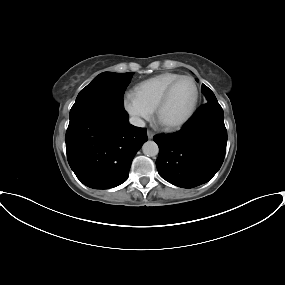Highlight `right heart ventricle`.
Returning <instances> with one entry per match:
<instances>
[{
    "mask_svg": "<svg viewBox=\"0 0 285 285\" xmlns=\"http://www.w3.org/2000/svg\"><path fill=\"white\" fill-rule=\"evenodd\" d=\"M180 74L166 72L138 83L133 90L136 99L150 110H154L167 86Z\"/></svg>",
    "mask_w": 285,
    "mask_h": 285,
    "instance_id": "1",
    "label": "right heart ventricle"
}]
</instances>
